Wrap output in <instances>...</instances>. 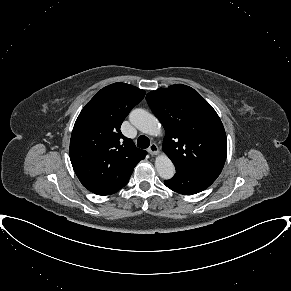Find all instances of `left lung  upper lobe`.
<instances>
[{
    "label": "left lung upper lobe",
    "mask_w": 291,
    "mask_h": 291,
    "mask_svg": "<svg viewBox=\"0 0 291 291\" xmlns=\"http://www.w3.org/2000/svg\"><path fill=\"white\" fill-rule=\"evenodd\" d=\"M165 129L163 151L176 168L219 175L227 155L223 124L193 88L176 84L147 94Z\"/></svg>",
    "instance_id": "left-lung-upper-lobe-1"
}]
</instances>
